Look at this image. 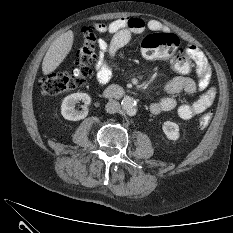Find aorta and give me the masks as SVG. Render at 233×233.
I'll return each mask as SVG.
<instances>
[{"label":"aorta","mask_w":233,"mask_h":233,"mask_svg":"<svg viewBox=\"0 0 233 233\" xmlns=\"http://www.w3.org/2000/svg\"><path fill=\"white\" fill-rule=\"evenodd\" d=\"M121 106L129 116H134L137 112V102L133 97H124L122 99Z\"/></svg>","instance_id":"762f6f07"}]
</instances>
